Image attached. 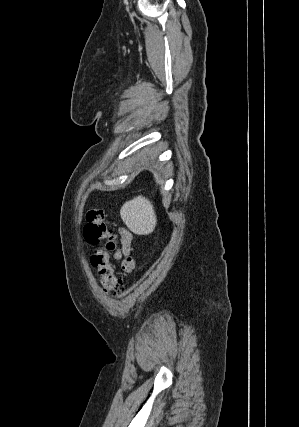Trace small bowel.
<instances>
[{"mask_svg":"<svg viewBox=\"0 0 299 427\" xmlns=\"http://www.w3.org/2000/svg\"><path fill=\"white\" fill-rule=\"evenodd\" d=\"M119 234L121 236V249L115 254L117 260L122 258V268L124 271H131L134 267V260L129 256L131 242L133 236L126 228H119Z\"/></svg>","mask_w":299,"mask_h":427,"instance_id":"1","label":"small bowel"}]
</instances>
